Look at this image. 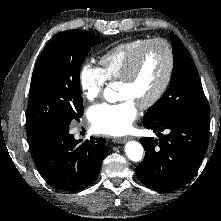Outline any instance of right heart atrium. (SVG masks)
<instances>
[{
  "label": "right heart atrium",
  "instance_id": "obj_1",
  "mask_svg": "<svg viewBox=\"0 0 221 221\" xmlns=\"http://www.w3.org/2000/svg\"><path fill=\"white\" fill-rule=\"evenodd\" d=\"M107 78L102 69L85 62L80 70L79 85L83 98L89 102L97 100L104 90Z\"/></svg>",
  "mask_w": 221,
  "mask_h": 221
}]
</instances>
